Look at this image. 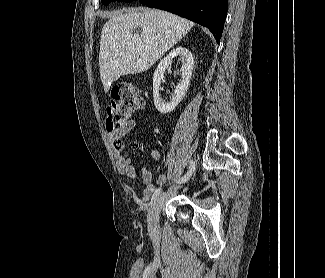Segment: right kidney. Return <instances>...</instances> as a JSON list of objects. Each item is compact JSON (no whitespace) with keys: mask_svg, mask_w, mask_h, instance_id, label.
Returning <instances> with one entry per match:
<instances>
[{"mask_svg":"<svg viewBox=\"0 0 325 278\" xmlns=\"http://www.w3.org/2000/svg\"><path fill=\"white\" fill-rule=\"evenodd\" d=\"M177 56L181 57L183 62V65L181 67V81L176 86L171 101L166 103L159 95V88L161 82L163 81L165 70L171 65L173 59ZM193 67L194 59L191 52L186 47L182 46H179L170 51L169 54L160 61L153 75L154 105L160 113L166 114L172 112L184 98L190 83Z\"/></svg>","mask_w":325,"mask_h":278,"instance_id":"1","label":"right kidney"}]
</instances>
